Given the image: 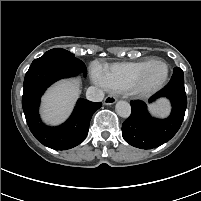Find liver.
<instances>
[{"instance_id":"liver-1","label":"liver","mask_w":201,"mask_h":201,"mask_svg":"<svg viewBox=\"0 0 201 201\" xmlns=\"http://www.w3.org/2000/svg\"><path fill=\"white\" fill-rule=\"evenodd\" d=\"M79 94L77 80H64L52 86L42 99L43 119L50 124L62 122L70 114Z\"/></svg>"}]
</instances>
